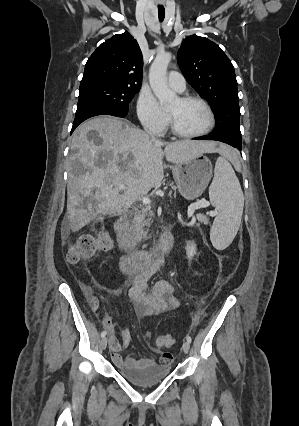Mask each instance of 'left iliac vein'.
Instances as JSON below:
<instances>
[{
    "label": "left iliac vein",
    "mask_w": 299,
    "mask_h": 426,
    "mask_svg": "<svg viewBox=\"0 0 299 426\" xmlns=\"http://www.w3.org/2000/svg\"><path fill=\"white\" fill-rule=\"evenodd\" d=\"M182 349L184 353H188L190 350V343L188 341H184L182 345Z\"/></svg>",
    "instance_id": "1"
}]
</instances>
